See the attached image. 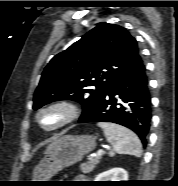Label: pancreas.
<instances>
[{
  "label": "pancreas",
  "instance_id": "obj_1",
  "mask_svg": "<svg viewBox=\"0 0 178 186\" xmlns=\"http://www.w3.org/2000/svg\"><path fill=\"white\" fill-rule=\"evenodd\" d=\"M100 159L101 157H96L94 159H90V161L87 163H82L80 167L82 173L88 174L92 172L94 168L96 167V165L99 163Z\"/></svg>",
  "mask_w": 178,
  "mask_h": 186
}]
</instances>
